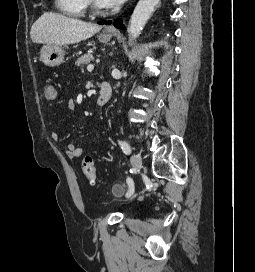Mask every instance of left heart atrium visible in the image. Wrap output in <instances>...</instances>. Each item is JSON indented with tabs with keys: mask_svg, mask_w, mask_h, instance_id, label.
Returning a JSON list of instances; mask_svg holds the SVG:
<instances>
[{
	"mask_svg": "<svg viewBox=\"0 0 255 272\" xmlns=\"http://www.w3.org/2000/svg\"><path fill=\"white\" fill-rule=\"evenodd\" d=\"M102 7L111 8L122 4L125 0H97Z\"/></svg>",
	"mask_w": 255,
	"mask_h": 272,
	"instance_id": "1",
	"label": "left heart atrium"
}]
</instances>
